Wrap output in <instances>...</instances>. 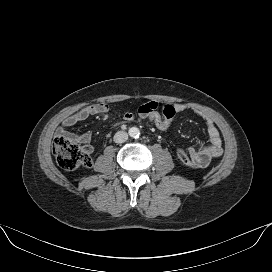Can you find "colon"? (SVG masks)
I'll list each match as a JSON object with an SVG mask.
<instances>
[{
	"label": "colon",
	"instance_id": "obj_1",
	"mask_svg": "<svg viewBox=\"0 0 272 272\" xmlns=\"http://www.w3.org/2000/svg\"><path fill=\"white\" fill-rule=\"evenodd\" d=\"M176 113L175 106L167 104L160 108L140 107L135 112V116L137 120L150 122L157 129L165 131L172 125ZM53 152L59 166L65 170H74L80 166L89 167L92 164V160L86 149L64 135H59L55 138ZM176 156L187 167H199V164L182 148L176 150Z\"/></svg>",
	"mask_w": 272,
	"mask_h": 272
}]
</instances>
